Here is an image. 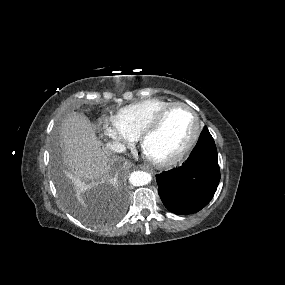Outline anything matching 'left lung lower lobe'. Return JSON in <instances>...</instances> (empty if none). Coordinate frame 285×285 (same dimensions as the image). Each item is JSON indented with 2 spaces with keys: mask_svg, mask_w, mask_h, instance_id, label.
Instances as JSON below:
<instances>
[{
  "mask_svg": "<svg viewBox=\"0 0 285 285\" xmlns=\"http://www.w3.org/2000/svg\"><path fill=\"white\" fill-rule=\"evenodd\" d=\"M158 193L175 214H192L213 198L220 181L215 142L205 128L188 159L178 168L156 175Z\"/></svg>",
  "mask_w": 285,
  "mask_h": 285,
  "instance_id": "obj_1",
  "label": "left lung lower lobe"
}]
</instances>
